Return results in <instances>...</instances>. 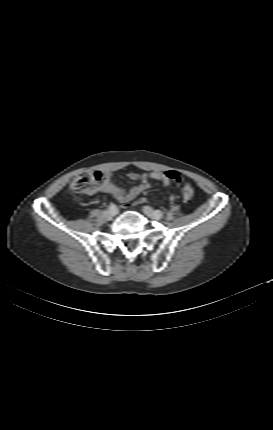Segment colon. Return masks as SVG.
<instances>
[{"instance_id":"obj_1","label":"colon","mask_w":273,"mask_h":430,"mask_svg":"<svg viewBox=\"0 0 273 430\" xmlns=\"http://www.w3.org/2000/svg\"><path fill=\"white\" fill-rule=\"evenodd\" d=\"M102 174L98 171H84L77 175L71 183V191L76 194H89L95 191L98 182L101 180ZM194 196L192 186H185L183 189V197L185 200H190Z\"/></svg>"}]
</instances>
